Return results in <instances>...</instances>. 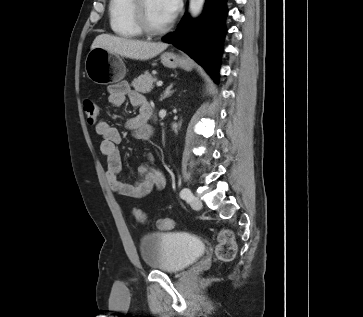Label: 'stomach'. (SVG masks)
<instances>
[{
	"label": "stomach",
	"mask_w": 363,
	"mask_h": 317,
	"mask_svg": "<svg viewBox=\"0 0 363 317\" xmlns=\"http://www.w3.org/2000/svg\"><path fill=\"white\" fill-rule=\"evenodd\" d=\"M162 64L170 69L180 67L190 71L192 64L188 58L164 53L161 55ZM85 71L88 78L100 85H107L121 81L126 74V67L122 58L104 48L97 47L91 49L86 56Z\"/></svg>",
	"instance_id": "stomach-1"
}]
</instances>
